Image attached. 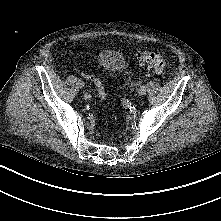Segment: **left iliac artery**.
<instances>
[{
  "label": "left iliac artery",
  "instance_id": "obj_1",
  "mask_svg": "<svg viewBox=\"0 0 221 221\" xmlns=\"http://www.w3.org/2000/svg\"><path fill=\"white\" fill-rule=\"evenodd\" d=\"M122 105L125 109H131L132 102L128 98H126L122 101Z\"/></svg>",
  "mask_w": 221,
  "mask_h": 221
}]
</instances>
